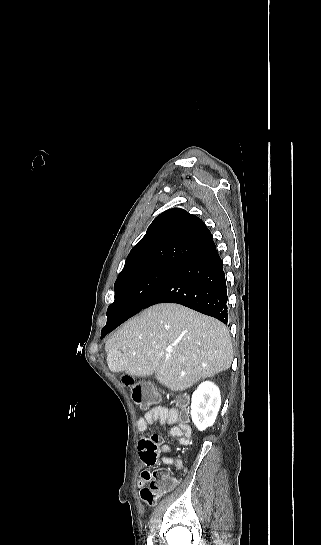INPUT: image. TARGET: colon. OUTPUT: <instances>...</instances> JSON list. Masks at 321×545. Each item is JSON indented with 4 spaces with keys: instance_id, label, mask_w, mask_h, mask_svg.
<instances>
[{
    "instance_id": "5ec220e1",
    "label": "colon",
    "mask_w": 321,
    "mask_h": 545,
    "mask_svg": "<svg viewBox=\"0 0 321 545\" xmlns=\"http://www.w3.org/2000/svg\"><path fill=\"white\" fill-rule=\"evenodd\" d=\"M123 383L128 387L132 400L142 409H147L158 400V394L150 384L134 379L130 376L123 377ZM159 437L152 435L143 439L140 443L142 455L148 460H154L157 456ZM177 482L169 475L157 472L150 477L149 484L140 491L141 498L148 504H154L163 494L167 493Z\"/></svg>"
}]
</instances>
